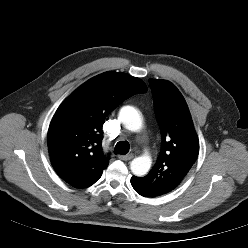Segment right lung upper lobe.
<instances>
[{"label":"right lung upper lobe","instance_id":"obj_1","mask_svg":"<svg viewBox=\"0 0 248 248\" xmlns=\"http://www.w3.org/2000/svg\"><path fill=\"white\" fill-rule=\"evenodd\" d=\"M146 91L140 79L121 72H104L76 89L57 109L48 130L56 173L75 188L93 185L109 163L101 146L106 116L125 99Z\"/></svg>","mask_w":248,"mask_h":248}]
</instances>
